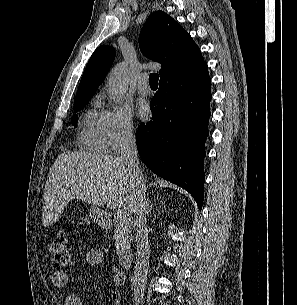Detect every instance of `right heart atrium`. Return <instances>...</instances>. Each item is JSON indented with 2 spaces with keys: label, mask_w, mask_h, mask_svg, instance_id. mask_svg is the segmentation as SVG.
Segmentation results:
<instances>
[{
  "label": "right heart atrium",
  "mask_w": 297,
  "mask_h": 305,
  "mask_svg": "<svg viewBox=\"0 0 297 305\" xmlns=\"http://www.w3.org/2000/svg\"><path fill=\"white\" fill-rule=\"evenodd\" d=\"M107 150L119 152L136 138L131 111L125 106H108L101 113Z\"/></svg>",
  "instance_id": "right-heart-atrium-1"
}]
</instances>
